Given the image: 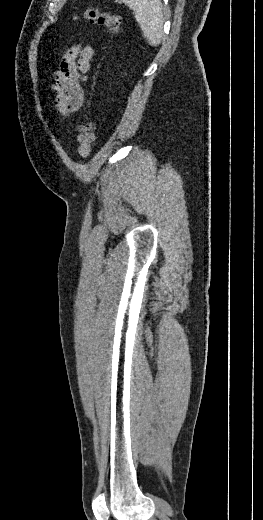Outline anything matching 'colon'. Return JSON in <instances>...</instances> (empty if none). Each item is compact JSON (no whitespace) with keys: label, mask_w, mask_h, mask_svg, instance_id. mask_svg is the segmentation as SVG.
I'll list each match as a JSON object with an SVG mask.
<instances>
[{"label":"colon","mask_w":263,"mask_h":520,"mask_svg":"<svg viewBox=\"0 0 263 520\" xmlns=\"http://www.w3.org/2000/svg\"><path fill=\"white\" fill-rule=\"evenodd\" d=\"M84 17L92 24H97L106 29L111 38L116 37L122 30V18L111 14L95 6H89L84 12ZM76 18V16H75ZM94 141V125L87 121L78 126L77 152L81 158L89 156Z\"/></svg>","instance_id":"5ec220e1"}]
</instances>
